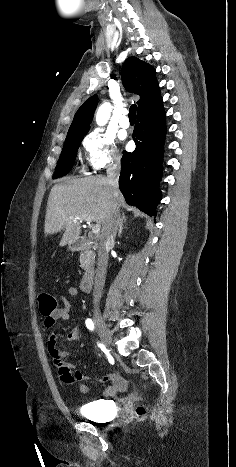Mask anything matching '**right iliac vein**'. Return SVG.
Listing matches in <instances>:
<instances>
[{
  "instance_id": "obj_1",
  "label": "right iliac vein",
  "mask_w": 236,
  "mask_h": 467,
  "mask_svg": "<svg viewBox=\"0 0 236 467\" xmlns=\"http://www.w3.org/2000/svg\"><path fill=\"white\" fill-rule=\"evenodd\" d=\"M94 322H95V326H96V329L101 337V340L103 342V344L108 348L110 349V345H111V333H110V330L107 326V324L104 322V320L102 319V317L100 316L99 313H95L94 315Z\"/></svg>"
}]
</instances>
